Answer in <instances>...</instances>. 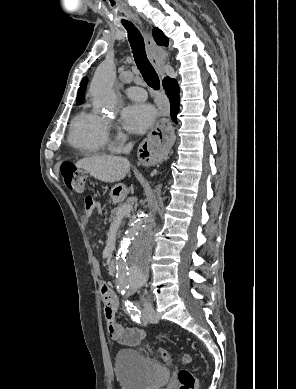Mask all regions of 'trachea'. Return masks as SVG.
Listing matches in <instances>:
<instances>
[{"instance_id": "obj_1", "label": "trachea", "mask_w": 296, "mask_h": 389, "mask_svg": "<svg viewBox=\"0 0 296 389\" xmlns=\"http://www.w3.org/2000/svg\"><path fill=\"white\" fill-rule=\"evenodd\" d=\"M123 25L128 32V40L130 42L133 57L144 81L154 90H159L160 80L147 58L143 36L131 22L124 23Z\"/></svg>"}]
</instances>
